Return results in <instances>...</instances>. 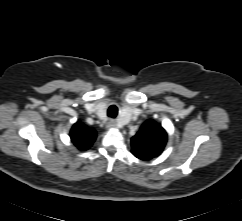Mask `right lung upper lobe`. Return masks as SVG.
Here are the masks:
<instances>
[{"instance_id": "cb5924a9", "label": "right lung upper lobe", "mask_w": 242, "mask_h": 221, "mask_svg": "<svg viewBox=\"0 0 242 221\" xmlns=\"http://www.w3.org/2000/svg\"><path fill=\"white\" fill-rule=\"evenodd\" d=\"M70 137L78 149L87 150L96 139V131L77 122L71 129Z\"/></svg>"}]
</instances>
